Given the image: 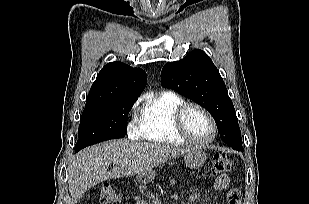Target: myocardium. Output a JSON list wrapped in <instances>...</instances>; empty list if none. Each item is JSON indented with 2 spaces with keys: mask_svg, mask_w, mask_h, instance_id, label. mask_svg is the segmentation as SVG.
I'll return each mask as SVG.
<instances>
[{
  "mask_svg": "<svg viewBox=\"0 0 309 204\" xmlns=\"http://www.w3.org/2000/svg\"><path fill=\"white\" fill-rule=\"evenodd\" d=\"M195 108L201 111L209 120L211 127H212V135L207 140H198L194 138L189 131L186 128L185 125V115L188 112L189 109ZM173 126L176 132L186 141L189 143L198 145V146H207L211 144L216 136H217V124L215 122V119L213 118L212 114L202 105L195 103V102H185L183 103L174 113L173 116Z\"/></svg>",
  "mask_w": 309,
  "mask_h": 204,
  "instance_id": "obj_1",
  "label": "myocardium"
}]
</instances>
